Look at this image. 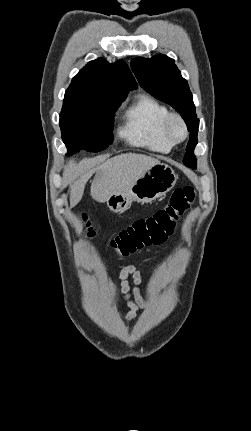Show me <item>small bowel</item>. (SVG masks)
Wrapping results in <instances>:
<instances>
[{
  "label": "small bowel",
  "instance_id": "small-bowel-1",
  "mask_svg": "<svg viewBox=\"0 0 251 431\" xmlns=\"http://www.w3.org/2000/svg\"><path fill=\"white\" fill-rule=\"evenodd\" d=\"M120 293L122 294L128 312L125 320L128 323L135 321L137 312L140 309L148 308L151 301L146 299L139 288L142 282V275L134 265H125L119 270Z\"/></svg>",
  "mask_w": 251,
  "mask_h": 431
}]
</instances>
